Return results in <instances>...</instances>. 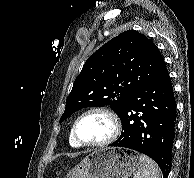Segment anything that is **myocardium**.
<instances>
[{"label": "myocardium", "mask_w": 194, "mask_h": 178, "mask_svg": "<svg viewBox=\"0 0 194 178\" xmlns=\"http://www.w3.org/2000/svg\"><path fill=\"white\" fill-rule=\"evenodd\" d=\"M92 113H99V114L106 116L111 123V132L108 135V137H106L102 141L94 142V143H87V142L82 141L78 137L77 126H78L79 121L83 117H85L89 114H92ZM120 132H121V122H120L117 114L114 111H112L111 109H109L107 107H102V106L91 107V108H88L87 110L83 111L75 119V121L72 125V129H71L72 138L81 147H105V146H108L117 140V138L120 135Z\"/></svg>", "instance_id": "f54148a6"}]
</instances>
